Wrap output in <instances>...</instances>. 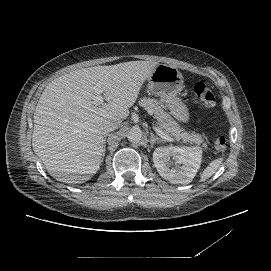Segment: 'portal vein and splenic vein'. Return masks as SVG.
Masks as SVG:
<instances>
[{
	"mask_svg": "<svg viewBox=\"0 0 271 271\" xmlns=\"http://www.w3.org/2000/svg\"><path fill=\"white\" fill-rule=\"evenodd\" d=\"M94 89V97H93V104L94 105H101L104 102L103 96L101 95L103 93V90L101 88V85L99 83L95 84L93 87ZM154 131L158 136H160L162 139L172 142L173 138L166 135L160 128L154 127Z\"/></svg>",
	"mask_w": 271,
	"mask_h": 271,
	"instance_id": "18ae733b",
	"label": "portal vein and splenic vein"
}]
</instances>
